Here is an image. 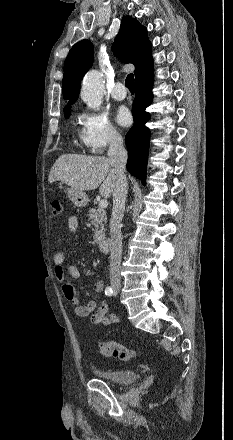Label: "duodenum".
Wrapping results in <instances>:
<instances>
[{
  "mask_svg": "<svg viewBox=\"0 0 233 440\" xmlns=\"http://www.w3.org/2000/svg\"><path fill=\"white\" fill-rule=\"evenodd\" d=\"M99 246L102 251H104V252L109 251L110 246H111L110 239H108V238L99 239Z\"/></svg>",
  "mask_w": 233,
  "mask_h": 440,
  "instance_id": "duodenum-1",
  "label": "duodenum"
}]
</instances>
